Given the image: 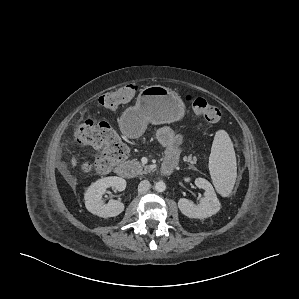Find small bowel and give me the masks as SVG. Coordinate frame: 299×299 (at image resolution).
Wrapping results in <instances>:
<instances>
[{"mask_svg": "<svg viewBox=\"0 0 299 299\" xmlns=\"http://www.w3.org/2000/svg\"><path fill=\"white\" fill-rule=\"evenodd\" d=\"M157 139L165 147L164 161L177 164L181 154V135L170 127H162L157 132Z\"/></svg>", "mask_w": 299, "mask_h": 299, "instance_id": "small-bowel-1", "label": "small bowel"}]
</instances>
